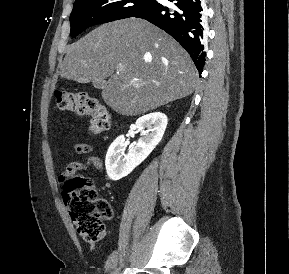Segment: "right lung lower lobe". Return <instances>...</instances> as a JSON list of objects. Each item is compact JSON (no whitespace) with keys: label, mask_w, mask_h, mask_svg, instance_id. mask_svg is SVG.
Here are the masks:
<instances>
[{"label":"right lung lower lobe","mask_w":289,"mask_h":274,"mask_svg":"<svg viewBox=\"0 0 289 274\" xmlns=\"http://www.w3.org/2000/svg\"><path fill=\"white\" fill-rule=\"evenodd\" d=\"M168 7L155 2L140 14L134 16L145 19L165 30L175 38L190 54L199 73L205 63L204 26L205 17L201 0H168Z\"/></svg>","instance_id":"obj_1"}]
</instances>
